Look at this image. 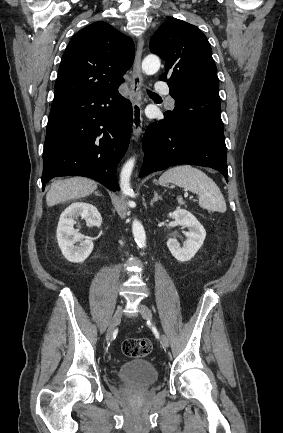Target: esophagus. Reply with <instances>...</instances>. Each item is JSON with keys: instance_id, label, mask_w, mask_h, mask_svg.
Listing matches in <instances>:
<instances>
[{"instance_id": "1", "label": "esophagus", "mask_w": 283, "mask_h": 433, "mask_svg": "<svg viewBox=\"0 0 283 433\" xmlns=\"http://www.w3.org/2000/svg\"><path fill=\"white\" fill-rule=\"evenodd\" d=\"M144 46V39L140 37L137 44L136 56L133 63L132 79H131V93L133 97V137L139 138L142 133L143 125V111L140 102L136 96L141 92L142 88V73H141V57Z\"/></svg>"}]
</instances>
